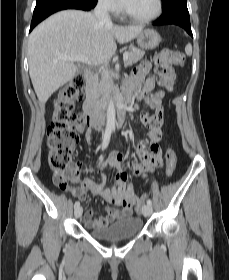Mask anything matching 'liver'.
<instances>
[{
    "mask_svg": "<svg viewBox=\"0 0 229 280\" xmlns=\"http://www.w3.org/2000/svg\"><path fill=\"white\" fill-rule=\"evenodd\" d=\"M143 31L140 26L102 23L89 12L65 10L40 23L28 41L29 74L39 101L70 81L79 67L61 55H80L95 64L107 63L115 54L116 41L123 44Z\"/></svg>",
    "mask_w": 229,
    "mask_h": 280,
    "instance_id": "obj_1",
    "label": "liver"
}]
</instances>
